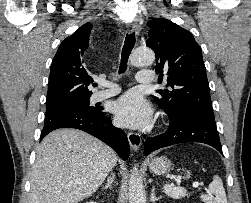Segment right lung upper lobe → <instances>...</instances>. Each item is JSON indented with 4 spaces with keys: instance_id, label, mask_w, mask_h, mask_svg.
<instances>
[{
    "instance_id": "1",
    "label": "right lung upper lobe",
    "mask_w": 251,
    "mask_h": 203,
    "mask_svg": "<svg viewBox=\"0 0 251 203\" xmlns=\"http://www.w3.org/2000/svg\"><path fill=\"white\" fill-rule=\"evenodd\" d=\"M92 25L87 23L67 37L53 58L47 92V109L89 99L93 81L84 68V51L89 46Z\"/></svg>"
}]
</instances>
